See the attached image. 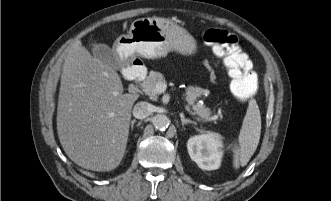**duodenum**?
I'll list each match as a JSON object with an SVG mask.
<instances>
[{"instance_id":"obj_1","label":"duodenum","mask_w":331,"mask_h":201,"mask_svg":"<svg viewBox=\"0 0 331 201\" xmlns=\"http://www.w3.org/2000/svg\"><path fill=\"white\" fill-rule=\"evenodd\" d=\"M128 65L125 70L126 77L132 81L141 80L146 73L145 66L139 58L127 61Z\"/></svg>"}]
</instances>
